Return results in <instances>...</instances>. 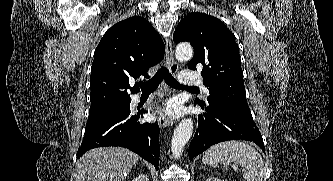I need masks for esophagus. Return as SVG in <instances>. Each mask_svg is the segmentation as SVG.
<instances>
[{"label": "esophagus", "instance_id": "obj_1", "mask_svg": "<svg viewBox=\"0 0 333 181\" xmlns=\"http://www.w3.org/2000/svg\"><path fill=\"white\" fill-rule=\"evenodd\" d=\"M165 56L169 71L172 74H176L178 71V63L174 59L171 37H167L165 41ZM158 124L160 127H168L173 125V121L165 114L161 113L158 117Z\"/></svg>", "mask_w": 333, "mask_h": 181}]
</instances>
